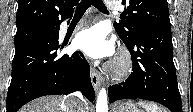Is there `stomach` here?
<instances>
[{"instance_id": "obj_1", "label": "stomach", "mask_w": 193, "mask_h": 112, "mask_svg": "<svg viewBox=\"0 0 193 112\" xmlns=\"http://www.w3.org/2000/svg\"><path fill=\"white\" fill-rule=\"evenodd\" d=\"M115 112H143L134 102L126 101L115 108Z\"/></svg>"}]
</instances>
